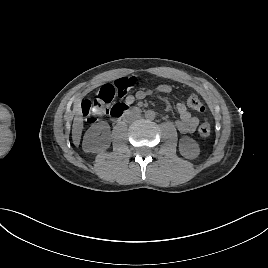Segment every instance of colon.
Listing matches in <instances>:
<instances>
[{
    "label": "colon",
    "instance_id": "colon-1",
    "mask_svg": "<svg viewBox=\"0 0 268 268\" xmlns=\"http://www.w3.org/2000/svg\"><path fill=\"white\" fill-rule=\"evenodd\" d=\"M139 85V79L135 76L123 77L115 80L112 83L104 84L95 94L93 100H86L82 103V114L89 122H94L101 115L107 113L110 110V105L115 98L124 97L131 89ZM187 104L190 108L197 112L203 113L205 111V105L202 100L191 94L187 98ZM96 105L99 111L93 114L90 108ZM199 135L202 139H207L211 135L210 123L205 120L199 127Z\"/></svg>",
    "mask_w": 268,
    "mask_h": 268
}]
</instances>
